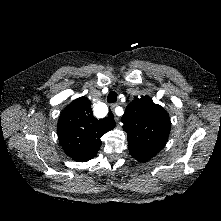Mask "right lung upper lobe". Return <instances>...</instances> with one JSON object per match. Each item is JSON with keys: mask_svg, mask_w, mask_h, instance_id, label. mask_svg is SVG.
Segmentation results:
<instances>
[{"mask_svg": "<svg viewBox=\"0 0 221 221\" xmlns=\"http://www.w3.org/2000/svg\"><path fill=\"white\" fill-rule=\"evenodd\" d=\"M113 119L93 116L91 102L80 97L72 101L60 114L58 138L64 152L72 159L86 162L97 154L101 137L115 127Z\"/></svg>", "mask_w": 221, "mask_h": 221, "instance_id": "right-lung-upper-lobe-1", "label": "right lung upper lobe"}]
</instances>
